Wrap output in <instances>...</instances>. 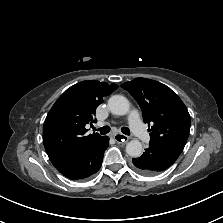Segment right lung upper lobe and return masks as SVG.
Instances as JSON below:
<instances>
[{"label":"right lung upper lobe","instance_id":"obj_1","mask_svg":"<svg viewBox=\"0 0 223 223\" xmlns=\"http://www.w3.org/2000/svg\"><path fill=\"white\" fill-rule=\"evenodd\" d=\"M118 86L86 80L68 88L49 111L43 127L45 150L54 166L87 151L102 137L87 135L86 124L94 122L95 109Z\"/></svg>","mask_w":223,"mask_h":223}]
</instances>
